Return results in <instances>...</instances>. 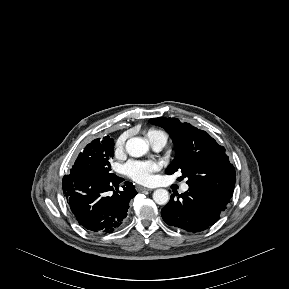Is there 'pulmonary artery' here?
Wrapping results in <instances>:
<instances>
[{
    "mask_svg": "<svg viewBox=\"0 0 289 289\" xmlns=\"http://www.w3.org/2000/svg\"><path fill=\"white\" fill-rule=\"evenodd\" d=\"M151 148L158 152L161 151L167 144V136L165 134H155L148 138ZM189 189L188 184L184 183L181 186V191L186 192Z\"/></svg>",
    "mask_w": 289,
    "mask_h": 289,
    "instance_id": "obj_1",
    "label": "pulmonary artery"
}]
</instances>
